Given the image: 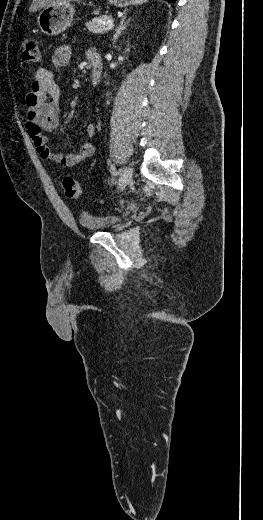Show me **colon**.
<instances>
[{
  "label": "colon",
  "mask_w": 263,
  "mask_h": 520,
  "mask_svg": "<svg viewBox=\"0 0 263 520\" xmlns=\"http://www.w3.org/2000/svg\"><path fill=\"white\" fill-rule=\"evenodd\" d=\"M39 44L35 39H29L25 42L24 50L22 52V59L27 62L36 63L39 61ZM63 188L65 194L69 198H79L82 195V188L79 181L68 176L63 179Z\"/></svg>",
  "instance_id": "colon-1"
}]
</instances>
